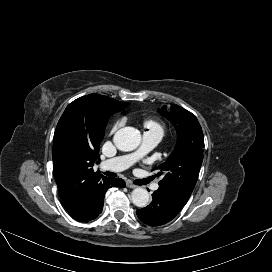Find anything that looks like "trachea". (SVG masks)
Instances as JSON below:
<instances>
[{
    "label": "trachea",
    "mask_w": 272,
    "mask_h": 272,
    "mask_svg": "<svg viewBox=\"0 0 272 272\" xmlns=\"http://www.w3.org/2000/svg\"><path fill=\"white\" fill-rule=\"evenodd\" d=\"M106 176H109V177H116V174L115 173H113V172H105L104 173ZM135 184H137L136 182H135Z\"/></svg>",
    "instance_id": "trachea-1"
}]
</instances>
